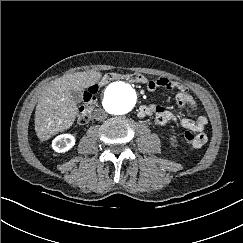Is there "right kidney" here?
<instances>
[{
  "instance_id": "1",
  "label": "right kidney",
  "mask_w": 243,
  "mask_h": 243,
  "mask_svg": "<svg viewBox=\"0 0 243 243\" xmlns=\"http://www.w3.org/2000/svg\"><path fill=\"white\" fill-rule=\"evenodd\" d=\"M75 145V137L71 134L58 135L52 142V148L59 153L70 150Z\"/></svg>"
}]
</instances>
